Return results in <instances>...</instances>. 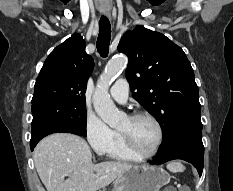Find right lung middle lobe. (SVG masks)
<instances>
[{
	"label": "right lung middle lobe",
	"instance_id": "1",
	"mask_svg": "<svg viewBox=\"0 0 233 191\" xmlns=\"http://www.w3.org/2000/svg\"><path fill=\"white\" fill-rule=\"evenodd\" d=\"M32 130L34 134L46 128H64L86 136L85 103H75L55 97L32 101Z\"/></svg>",
	"mask_w": 233,
	"mask_h": 191
}]
</instances>
